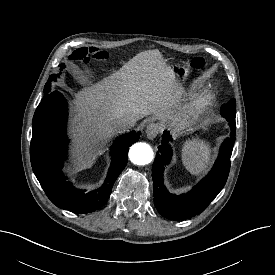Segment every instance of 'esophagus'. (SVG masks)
Instances as JSON below:
<instances>
[{"label": "esophagus", "instance_id": "esophagus-1", "mask_svg": "<svg viewBox=\"0 0 275 275\" xmlns=\"http://www.w3.org/2000/svg\"><path fill=\"white\" fill-rule=\"evenodd\" d=\"M158 133H159L158 124L151 123L147 126V129H146L147 138L153 140L158 135Z\"/></svg>", "mask_w": 275, "mask_h": 275}]
</instances>
